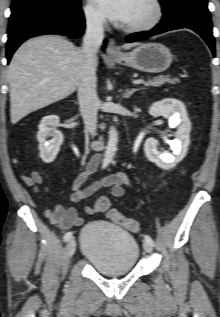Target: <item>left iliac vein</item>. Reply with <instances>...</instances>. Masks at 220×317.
I'll use <instances>...</instances> for the list:
<instances>
[{
	"instance_id": "4c4485c4",
	"label": "left iliac vein",
	"mask_w": 220,
	"mask_h": 317,
	"mask_svg": "<svg viewBox=\"0 0 220 317\" xmlns=\"http://www.w3.org/2000/svg\"><path fill=\"white\" fill-rule=\"evenodd\" d=\"M143 248L147 253H151L153 250V247L150 243H148L147 241L143 242Z\"/></svg>"
}]
</instances>
